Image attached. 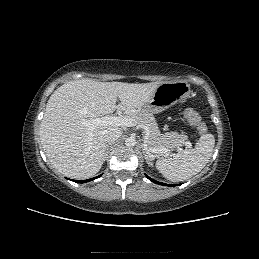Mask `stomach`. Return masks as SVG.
Listing matches in <instances>:
<instances>
[{"instance_id": "0dacf381", "label": "stomach", "mask_w": 259, "mask_h": 259, "mask_svg": "<svg viewBox=\"0 0 259 259\" xmlns=\"http://www.w3.org/2000/svg\"><path fill=\"white\" fill-rule=\"evenodd\" d=\"M191 88L186 81H174L161 83L141 108L152 114L159 113L165 109L184 102L190 97Z\"/></svg>"}]
</instances>
